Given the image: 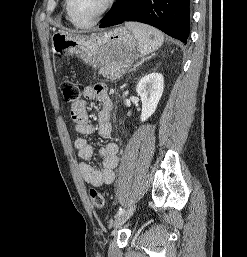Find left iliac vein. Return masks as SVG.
Here are the masks:
<instances>
[{"label": "left iliac vein", "mask_w": 247, "mask_h": 257, "mask_svg": "<svg viewBox=\"0 0 247 257\" xmlns=\"http://www.w3.org/2000/svg\"><path fill=\"white\" fill-rule=\"evenodd\" d=\"M135 205L130 207L127 211H124L122 214L118 215L113 223L115 229L121 227L134 213Z\"/></svg>", "instance_id": "1"}]
</instances>
